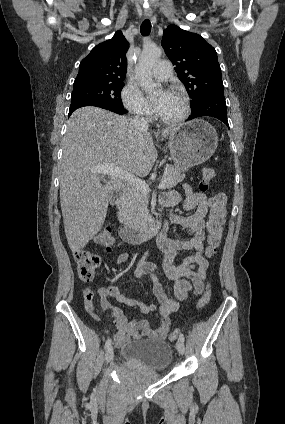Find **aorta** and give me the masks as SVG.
Wrapping results in <instances>:
<instances>
[{
    "label": "aorta",
    "mask_w": 285,
    "mask_h": 424,
    "mask_svg": "<svg viewBox=\"0 0 285 424\" xmlns=\"http://www.w3.org/2000/svg\"><path fill=\"white\" fill-rule=\"evenodd\" d=\"M161 55L162 49L154 46L144 48L139 57L136 74L141 89L149 95L161 91V85L154 83L152 78V68L160 59Z\"/></svg>",
    "instance_id": "1"
}]
</instances>
